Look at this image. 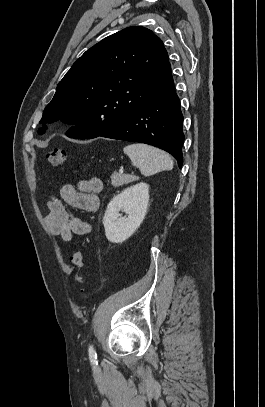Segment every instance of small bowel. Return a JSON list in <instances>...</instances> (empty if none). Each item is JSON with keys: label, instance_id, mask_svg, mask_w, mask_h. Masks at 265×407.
Masks as SVG:
<instances>
[{"label": "small bowel", "instance_id": "small-bowel-1", "mask_svg": "<svg viewBox=\"0 0 265 407\" xmlns=\"http://www.w3.org/2000/svg\"><path fill=\"white\" fill-rule=\"evenodd\" d=\"M101 190L102 181L97 177L83 179L76 184H64L60 188V196L52 197L47 203L49 213L44 218V224L49 233L60 236L66 243L71 242L74 235H88L91 232L90 224L75 215L71 208L97 211Z\"/></svg>", "mask_w": 265, "mask_h": 407}]
</instances>
